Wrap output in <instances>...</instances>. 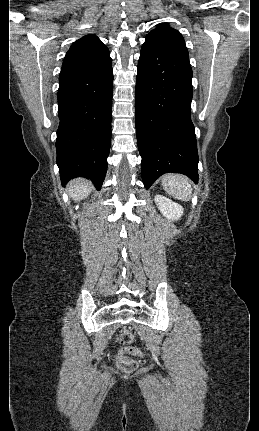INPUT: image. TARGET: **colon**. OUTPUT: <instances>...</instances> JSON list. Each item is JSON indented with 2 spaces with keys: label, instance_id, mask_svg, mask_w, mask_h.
<instances>
[{
  "label": "colon",
  "instance_id": "5ec220e1",
  "mask_svg": "<svg viewBox=\"0 0 259 431\" xmlns=\"http://www.w3.org/2000/svg\"><path fill=\"white\" fill-rule=\"evenodd\" d=\"M134 340V334L131 330L125 329L120 332L118 341L124 345L116 356L117 366L126 372H134L138 368V362L131 357L126 356L127 353L135 356H141L142 353L139 349L130 347Z\"/></svg>",
  "mask_w": 259,
  "mask_h": 431
}]
</instances>
